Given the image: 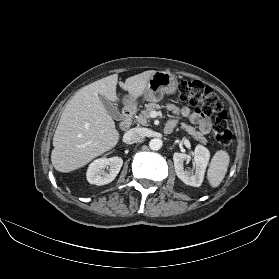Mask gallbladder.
Returning <instances> with one entry per match:
<instances>
[{
	"label": "gallbladder",
	"instance_id": "obj_1",
	"mask_svg": "<svg viewBox=\"0 0 279 279\" xmlns=\"http://www.w3.org/2000/svg\"><path fill=\"white\" fill-rule=\"evenodd\" d=\"M100 101L103 104V106L106 108L108 114L115 120L119 121L122 119V115L118 111V109L113 106V104L104 96H99Z\"/></svg>",
	"mask_w": 279,
	"mask_h": 279
}]
</instances>
